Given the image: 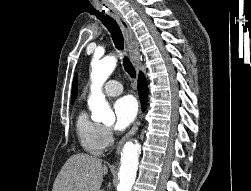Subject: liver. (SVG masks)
Wrapping results in <instances>:
<instances>
[{
    "label": "liver",
    "mask_w": 251,
    "mask_h": 191,
    "mask_svg": "<svg viewBox=\"0 0 251 191\" xmlns=\"http://www.w3.org/2000/svg\"><path fill=\"white\" fill-rule=\"evenodd\" d=\"M105 173H108V167L103 165L102 159L75 153L61 167L52 191H98Z\"/></svg>",
    "instance_id": "6515ba94"
}]
</instances>
